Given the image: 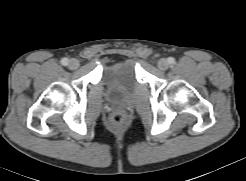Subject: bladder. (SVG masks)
Returning <instances> with one entry per match:
<instances>
[{"mask_svg":"<svg viewBox=\"0 0 246 181\" xmlns=\"http://www.w3.org/2000/svg\"><path fill=\"white\" fill-rule=\"evenodd\" d=\"M137 84L136 66L131 61H124L109 70L108 88L118 98L133 89Z\"/></svg>","mask_w":246,"mask_h":181,"instance_id":"bladder-1","label":"bladder"}]
</instances>
